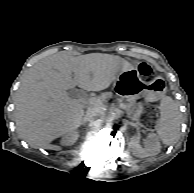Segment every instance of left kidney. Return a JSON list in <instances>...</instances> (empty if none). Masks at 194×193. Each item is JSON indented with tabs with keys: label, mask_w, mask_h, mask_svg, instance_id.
<instances>
[{
	"label": "left kidney",
	"mask_w": 194,
	"mask_h": 193,
	"mask_svg": "<svg viewBox=\"0 0 194 193\" xmlns=\"http://www.w3.org/2000/svg\"><path fill=\"white\" fill-rule=\"evenodd\" d=\"M130 148L134 156L139 158H145L159 154L161 150V144L156 134L149 133L145 142V147H142L139 144V141L133 138L130 141Z\"/></svg>",
	"instance_id": "left-kidney-1"
}]
</instances>
